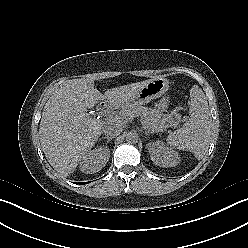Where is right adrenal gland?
<instances>
[{
  "instance_id": "2a0ac1e0",
  "label": "right adrenal gland",
  "mask_w": 248,
  "mask_h": 248,
  "mask_svg": "<svg viewBox=\"0 0 248 248\" xmlns=\"http://www.w3.org/2000/svg\"><path fill=\"white\" fill-rule=\"evenodd\" d=\"M102 138L107 140L106 144L109 143L113 139V137H102Z\"/></svg>"
}]
</instances>
